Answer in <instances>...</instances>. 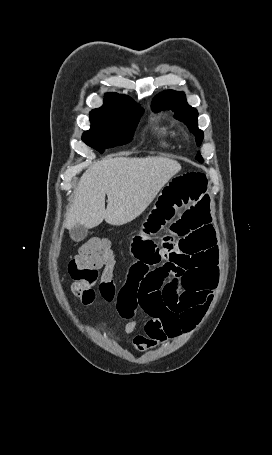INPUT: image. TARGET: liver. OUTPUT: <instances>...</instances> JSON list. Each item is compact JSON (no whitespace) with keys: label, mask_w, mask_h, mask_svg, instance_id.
Wrapping results in <instances>:
<instances>
[{"label":"liver","mask_w":272,"mask_h":455,"mask_svg":"<svg viewBox=\"0 0 272 455\" xmlns=\"http://www.w3.org/2000/svg\"><path fill=\"white\" fill-rule=\"evenodd\" d=\"M181 165L165 157H108L81 176L65 226L94 228L105 220L120 226L137 218ZM107 208L105 209V196Z\"/></svg>","instance_id":"1"}]
</instances>
